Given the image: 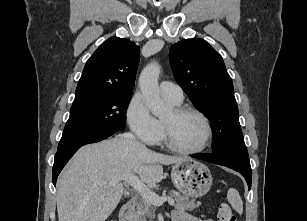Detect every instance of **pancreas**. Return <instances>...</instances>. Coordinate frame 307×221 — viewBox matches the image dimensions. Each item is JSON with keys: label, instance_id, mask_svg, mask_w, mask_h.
Instances as JSON below:
<instances>
[{"label": "pancreas", "instance_id": "1", "mask_svg": "<svg viewBox=\"0 0 307 221\" xmlns=\"http://www.w3.org/2000/svg\"><path fill=\"white\" fill-rule=\"evenodd\" d=\"M170 196L174 198L175 208L178 210L192 211L197 208L200 203L195 204L194 200H189L185 195H182L174 190L169 192ZM155 218V210L149 202L145 199H140L137 203V208L134 212L132 221H153Z\"/></svg>", "mask_w": 307, "mask_h": 221}]
</instances>
